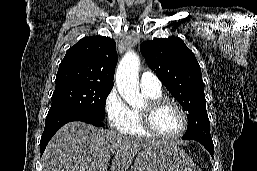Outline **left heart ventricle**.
I'll use <instances>...</instances> for the list:
<instances>
[{"mask_svg": "<svg viewBox=\"0 0 257 171\" xmlns=\"http://www.w3.org/2000/svg\"><path fill=\"white\" fill-rule=\"evenodd\" d=\"M182 116L172 104H164L153 115V125L162 134H175L182 128Z\"/></svg>", "mask_w": 257, "mask_h": 171, "instance_id": "obj_1", "label": "left heart ventricle"}]
</instances>
